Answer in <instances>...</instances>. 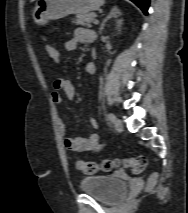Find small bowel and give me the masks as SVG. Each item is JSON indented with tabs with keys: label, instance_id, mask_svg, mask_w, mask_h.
I'll use <instances>...</instances> for the list:
<instances>
[{
	"label": "small bowel",
	"instance_id": "c3829d8e",
	"mask_svg": "<svg viewBox=\"0 0 188 213\" xmlns=\"http://www.w3.org/2000/svg\"><path fill=\"white\" fill-rule=\"evenodd\" d=\"M96 41V33L89 29L80 27L74 32V35L65 43V49L69 52L75 51L80 44H92ZM59 57L55 60H58ZM86 72L89 75L97 73V66L94 62L86 65ZM61 92L66 98L72 100L75 97L74 85L66 79H58L53 82V90L50 94L51 101L59 105L62 102ZM89 124L92 128H97L98 123L94 118L89 119ZM60 129L63 134L64 146L68 151L77 153H98L102 150V144L98 134L92 133L88 136L72 137L68 134L67 127L63 121H59Z\"/></svg>",
	"mask_w": 188,
	"mask_h": 213
}]
</instances>
